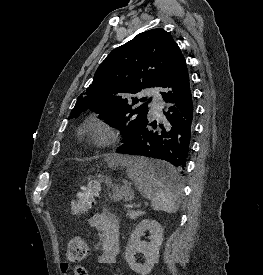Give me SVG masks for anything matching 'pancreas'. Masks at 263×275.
<instances>
[{
  "label": "pancreas",
  "mask_w": 263,
  "mask_h": 275,
  "mask_svg": "<svg viewBox=\"0 0 263 275\" xmlns=\"http://www.w3.org/2000/svg\"><path fill=\"white\" fill-rule=\"evenodd\" d=\"M144 214L142 211H128L127 212V217L131 219H136L137 217H140Z\"/></svg>",
  "instance_id": "1"
}]
</instances>
